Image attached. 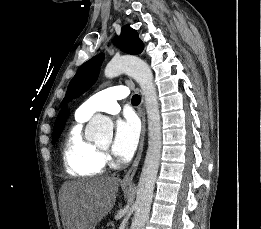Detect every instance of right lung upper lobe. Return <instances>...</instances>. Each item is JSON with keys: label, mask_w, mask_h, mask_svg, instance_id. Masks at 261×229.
Masks as SVG:
<instances>
[{"label": "right lung upper lobe", "mask_w": 261, "mask_h": 229, "mask_svg": "<svg viewBox=\"0 0 261 229\" xmlns=\"http://www.w3.org/2000/svg\"><path fill=\"white\" fill-rule=\"evenodd\" d=\"M67 117H68V108H67V105H66L59 112L58 117H57L56 122H55V125L65 124Z\"/></svg>", "instance_id": "right-lung-upper-lobe-1"}]
</instances>
